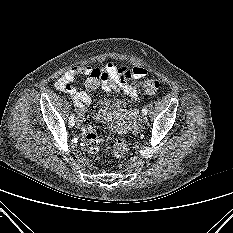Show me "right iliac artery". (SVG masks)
Returning a JSON list of instances; mask_svg holds the SVG:
<instances>
[{"label":"right iliac artery","mask_w":233,"mask_h":233,"mask_svg":"<svg viewBox=\"0 0 233 233\" xmlns=\"http://www.w3.org/2000/svg\"><path fill=\"white\" fill-rule=\"evenodd\" d=\"M74 113H72L71 114V116H70V118H69V125L71 126V127H73V125H74V123H75V121H74Z\"/></svg>","instance_id":"right-iliac-artery-1"}]
</instances>
